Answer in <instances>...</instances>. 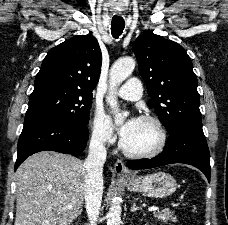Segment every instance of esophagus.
Instances as JSON below:
<instances>
[{
	"label": "esophagus",
	"mask_w": 228,
	"mask_h": 225,
	"mask_svg": "<svg viewBox=\"0 0 228 225\" xmlns=\"http://www.w3.org/2000/svg\"><path fill=\"white\" fill-rule=\"evenodd\" d=\"M114 170L120 178H126L131 175V171L126 168L124 162L120 159L116 161Z\"/></svg>",
	"instance_id": "esophagus-1"
}]
</instances>
